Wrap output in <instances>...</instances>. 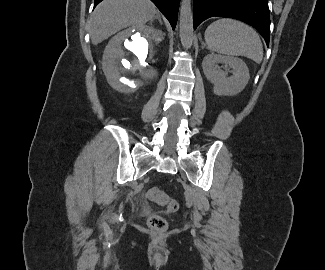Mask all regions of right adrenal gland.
<instances>
[{
  "instance_id": "right-adrenal-gland-1",
  "label": "right adrenal gland",
  "mask_w": 325,
  "mask_h": 270,
  "mask_svg": "<svg viewBox=\"0 0 325 270\" xmlns=\"http://www.w3.org/2000/svg\"><path fill=\"white\" fill-rule=\"evenodd\" d=\"M154 19H158L160 24H162V20L158 14L154 17ZM154 19H152L150 22L152 23Z\"/></svg>"
}]
</instances>
